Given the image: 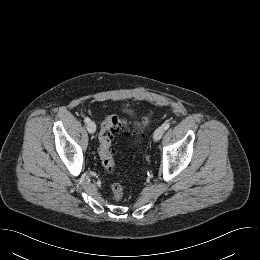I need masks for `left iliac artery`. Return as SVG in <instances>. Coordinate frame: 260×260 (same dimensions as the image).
Masks as SVG:
<instances>
[{
	"mask_svg": "<svg viewBox=\"0 0 260 260\" xmlns=\"http://www.w3.org/2000/svg\"><path fill=\"white\" fill-rule=\"evenodd\" d=\"M170 127V123L166 122L163 124V128L167 130Z\"/></svg>",
	"mask_w": 260,
	"mask_h": 260,
	"instance_id": "obj_1",
	"label": "left iliac artery"
}]
</instances>
